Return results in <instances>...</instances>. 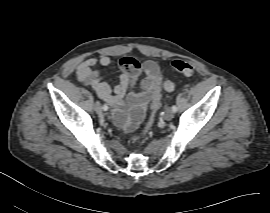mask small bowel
I'll return each mask as SVG.
<instances>
[{
	"label": "small bowel",
	"instance_id": "1",
	"mask_svg": "<svg viewBox=\"0 0 270 213\" xmlns=\"http://www.w3.org/2000/svg\"><path fill=\"white\" fill-rule=\"evenodd\" d=\"M111 62L112 60L107 54H103L99 58L87 59L79 64L77 77L83 84L92 87L103 101L112 106L114 109L113 117H115L119 128L131 130L150 107L159 103L161 71L158 64L152 60L139 65L133 58H121L119 61V67L122 71L121 80L112 89L96 68V65L107 67L111 65ZM141 71L144 72L145 76L136 88ZM123 106L132 108L130 118L119 116V109Z\"/></svg>",
	"mask_w": 270,
	"mask_h": 213
}]
</instances>
